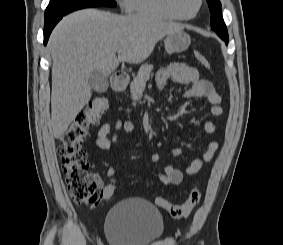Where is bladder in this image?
I'll return each mask as SVG.
<instances>
[{"instance_id":"31cf9c89","label":"bladder","mask_w":283,"mask_h":245,"mask_svg":"<svg viewBox=\"0 0 283 245\" xmlns=\"http://www.w3.org/2000/svg\"><path fill=\"white\" fill-rule=\"evenodd\" d=\"M105 234L110 245H151L163 237V217L146 200L125 199L107 213Z\"/></svg>"}]
</instances>
